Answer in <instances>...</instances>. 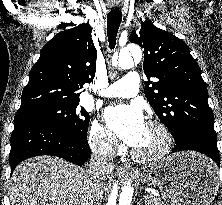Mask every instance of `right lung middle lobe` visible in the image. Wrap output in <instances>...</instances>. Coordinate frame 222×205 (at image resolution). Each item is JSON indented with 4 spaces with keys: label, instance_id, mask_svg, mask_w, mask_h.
<instances>
[{
    "label": "right lung middle lobe",
    "instance_id": "right-lung-middle-lobe-1",
    "mask_svg": "<svg viewBox=\"0 0 222 205\" xmlns=\"http://www.w3.org/2000/svg\"><path fill=\"white\" fill-rule=\"evenodd\" d=\"M78 105L79 102L48 103L31 110L17 112L14 122L42 121L62 130L86 136L90 121L89 114Z\"/></svg>",
    "mask_w": 222,
    "mask_h": 205
}]
</instances>
